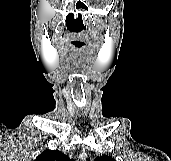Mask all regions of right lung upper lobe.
<instances>
[{
    "label": "right lung upper lobe",
    "mask_w": 171,
    "mask_h": 161,
    "mask_svg": "<svg viewBox=\"0 0 171 161\" xmlns=\"http://www.w3.org/2000/svg\"><path fill=\"white\" fill-rule=\"evenodd\" d=\"M35 161H72L67 155L58 150H48L41 153Z\"/></svg>",
    "instance_id": "cb5924a9"
}]
</instances>
